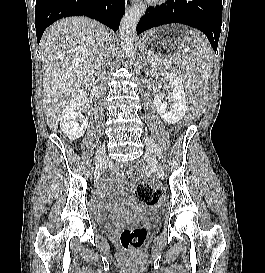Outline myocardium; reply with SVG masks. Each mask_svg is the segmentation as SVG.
Segmentation results:
<instances>
[{
	"instance_id": "f54148a6",
	"label": "myocardium",
	"mask_w": 265,
	"mask_h": 273,
	"mask_svg": "<svg viewBox=\"0 0 265 273\" xmlns=\"http://www.w3.org/2000/svg\"><path fill=\"white\" fill-rule=\"evenodd\" d=\"M151 1H153V2H160V3H162V2H164L165 0H151Z\"/></svg>"
}]
</instances>
